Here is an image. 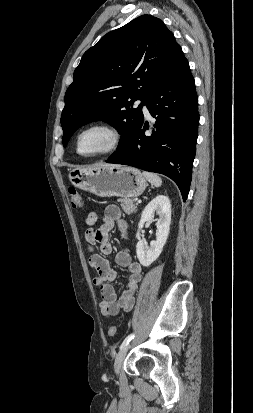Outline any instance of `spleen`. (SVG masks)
<instances>
[{
  "mask_svg": "<svg viewBox=\"0 0 253 413\" xmlns=\"http://www.w3.org/2000/svg\"><path fill=\"white\" fill-rule=\"evenodd\" d=\"M142 174L155 187L161 186L162 180L157 174L146 172V171H144Z\"/></svg>",
  "mask_w": 253,
  "mask_h": 413,
  "instance_id": "spleen-1",
  "label": "spleen"
}]
</instances>
